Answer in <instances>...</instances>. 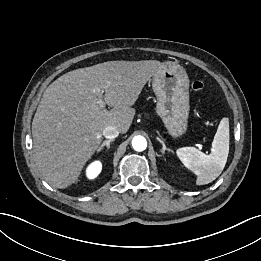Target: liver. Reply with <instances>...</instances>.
Instances as JSON below:
<instances>
[{
    "mask_svg": "<svg viewBox=\"0 0 261 261\" xmlns=\"http://www.w3.org/2000/svg\"><path fill=\"white\" fill-rule=\"evenodd\" d=\"M161 66L156 60L108 61L70 71L46 88L32 136L33 159L47 183L59 189L75 183L107 126L122 134L129 130L132 106ZM98 88L110 111L99 107Z\"/></svg>",
    "mask_w": 261,
    "mask_h": 261,
    "instance_id": "6515ba94",
    "label": "liver"
}]
</instances>
